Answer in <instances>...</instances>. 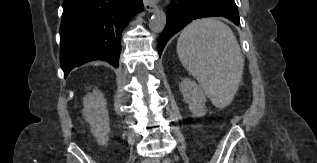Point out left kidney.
<instances>
[{"label":"left kidney","mask_w":317,"mask_h":163,"mask_svg":"<svg viewBox=\"0 0 317 163\" xmlns=\"http://www.w3.org/2000/svg\"><path fill=\"white\" fill-rule=\"evenodd\" d=\"M180 91L183 94L184 101L189 105L193 116L201 117L206 113V97L202 88L195 81L185 78L180 83Z\"/></svg>","instance_id":"5707ae66"}]
</instances>
